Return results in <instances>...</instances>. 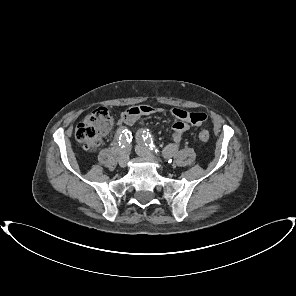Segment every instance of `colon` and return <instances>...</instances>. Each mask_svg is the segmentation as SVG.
I'll return each instance as SVG.
<instances>
[{"mask_svg": "<svg viewBox=\"0 0 296 296\" xmlns=\"http://www.w3.org/2000/svg\"><path fill=\"white\" fill-rule=\"evenodd\" d=\"M191 119L193 122H203L206 119V114H193ZM111 123L112 117L108 110L103 107L97 108L76 127V140L86 149H96L101 144L103 136L109 131ZM198 137L200 141L207 142L210 135L203 130Z\"/></svg>", "mask_w": 296, "mask_h": 296, "instance_id": "1", "label": "colon"}]
</instances>
